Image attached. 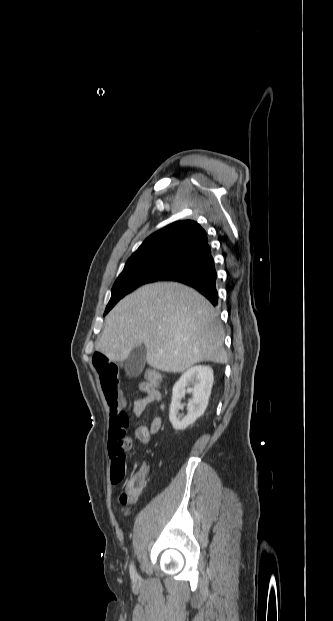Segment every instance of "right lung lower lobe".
I'll use <instances>...</instances> for the list:
<instances>
[{"label":"right lung lower lobe","instance_id":"obj_1","mask_svg":"<svg viewBox=\"0 0 333 621\" xmlns=\"http://www.w3.org/2000/svg\"><path fill=\"white\" fill-rule=\"evenodd\" d=\"M216 278L217 273L211 248L207 244L186 258L178 268L167 274L162 280L188 285L216 306L218 304Z\"/></svg>","mask_w":333,"mask_h":621}]
</instances>
